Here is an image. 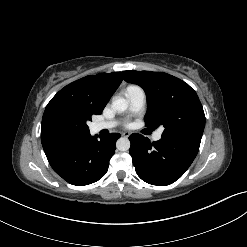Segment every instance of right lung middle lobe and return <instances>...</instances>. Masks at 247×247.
Here are the masks:
<instances>
[{"mask_svg":"<svg viewBox=\"0 0 247 247\" xmlns=\"http://www.w3.org/2000/svg\"><path fill=\"white\" fill-rule=\"evenodd\" d=\"M89 120H91V116L89 115L81 116L74 113H67L62 117L63 125L70 129L87 127L86 122Z\"/></svg>","mask_w":247,"mask_h":247,"instance_id":"right-lung-middle-lobe-1","label":"right lung middle lobe"}]
</instances>
